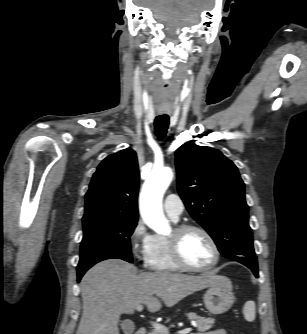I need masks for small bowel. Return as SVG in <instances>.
Returning <instances> with one entry per match:
<instances>
[{"instance_id": "c3829d8e", "label": "small bowel", "mask_w": 307, "mask_h": 334, "mask_svg": "<svg viewBox=\"0 0 307 334\" xmlns=\"http://www.w3.org/2000/svg\"><path fill=\"white\" fill-rule=\"evenodd\" d=\"M201 334H227V333L224 329H216V330L204 332V333H201Z\"/></svg>"}]
</instances>
